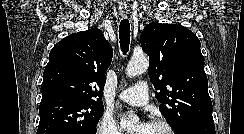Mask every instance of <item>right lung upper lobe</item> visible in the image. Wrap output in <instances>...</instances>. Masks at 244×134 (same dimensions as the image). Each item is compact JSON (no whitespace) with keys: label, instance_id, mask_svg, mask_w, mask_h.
<instances>
[{"label":"right lung upper lobe","instance_id":"1","mask_svg":"<svg viewBox=\"0 0 244 134\" xmlns=\"http://www.w3.org/2000/svg\"><path fill=\"white\" fill-rule=\"evenodd\" d=\"M112 56V47L98 28L65 37L50 51L41 102L61 97L101 103Z\"/></svg>","mask_w":244,"mask_h":134}]
</instances>
